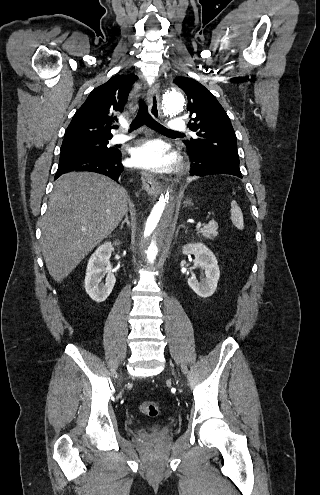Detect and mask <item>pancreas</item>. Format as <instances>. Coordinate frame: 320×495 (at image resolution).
I'll return each mask as SVG.
<instances>
[{"mask_svg": "<svg viewBox=\"0 0 320 495\" xmlns=\"http://www.w3.org/2000/svg\"><path fill=\"white\" fill-rule=\"evenodd\" d=\"M217 229L218 224L215 221H210L198 231V234L208 239H214L218 235Z\"/></svg>", "mask_w": 320, "mask_h": 495, "instance_id": "pancreas-1", "label": "pancreas"}]
</instances>
